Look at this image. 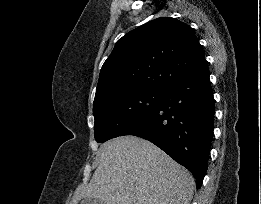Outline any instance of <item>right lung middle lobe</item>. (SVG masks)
Returning <instances> with one entry per match:
<instances>
[{
	"mask_svg": "<svg viewBox=\"0 0 261 204\" xmlns=\"http://www.w3.org/2000/svg\"><path fill=\"white\" fill-rule=\"evenodd\" d=\"M163 95L164 91L129 89L104 96L93 104L95 140L103 143L120 136L153 109Z\"/></svg>",
	"mask_w": 261,
	"mask_h": 204,
	"instance_id": "obj_1",
	"label": "right lung middle lobe"
}]
</instances>
